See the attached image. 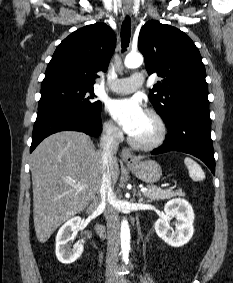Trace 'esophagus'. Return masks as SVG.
Segmentation results:
<instances>
[{"label":"esophagus","mask_w":233,"mask_h":283,"mask_svg":"<svg viewBox=\"0 0 233 283\" xmlns=\"http://www.w3.org/2000/svg\"><path fill=\"white\" fill-rule=\"evenodd\" d=\"M124 10L128 14H130L132 12L131 7H125ZM121 157H122L123 161H125L126 163H135L137 161V158L134 156V154L131 153V151L126 149V148L122 149Z\"/></svg>","instance_id":"1"}]
</instances>
